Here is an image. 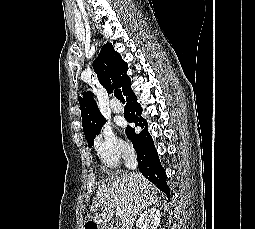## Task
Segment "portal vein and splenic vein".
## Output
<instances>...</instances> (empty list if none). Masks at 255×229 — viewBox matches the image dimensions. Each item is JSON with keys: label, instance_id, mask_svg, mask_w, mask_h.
I'll return each instance as SVG.
<instances>
[{"label": "portal vein and splenic vein", "instance_id": "portal-vein-and-splenic-vein-1", "mask_svg": "<svg viewBox=\"0 0 255 229\" xmlns=\"http://www.w3.org/2000/svg\"><path fill=\"white\" fill-rule=\"evenodd\" d=\"M116 209H117V215H118L119 217H122V216H123L124 211H123V210H121L119 206H116Z\"/></svg>", "mask_w": 255, "mask_h": 229}]
</instances>
